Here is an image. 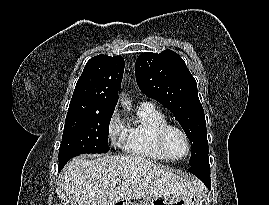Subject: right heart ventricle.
I'll use <instances>...</instances> for the list:
<instances>
[{
    "mask_svg": "<svg viewBox=\"0 0 269 205\" xmlns=\"http://www.w3.org/2000/svg\"><path fill=\"white\" fill-rule=\"evenodd\" d=\"M137 122L127 129L123 147L131 157L153 161L168 162L158 150L155 142L157 130L168 123L165 114L151 105H141L137 112Z\"/></svg>",
    "mask_w": 269,
    "mask_h": 205,
    "instance_id": "obj_1",
    "label": "right heart ventricle"
}]
</instances>
